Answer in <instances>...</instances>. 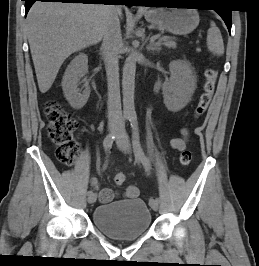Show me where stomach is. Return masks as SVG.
<instances>
[{"mask_svg":"<svg viewBox=\"0 0 259 266\" xmlns=\"http://www.w3.org/2000/svg\"><path fill=\"white\" fill-rule=\"evenodd\" d=\"M183 7L182 3H174ZM169 7V6H168ZM148 22L176 35L191 33L199 24V14L195 9L188 8H154L145 12Z\"/></svg>","mask_w":259,"mask_h":266,"instance_id":"1","label":"stomach"}]
</instances>
